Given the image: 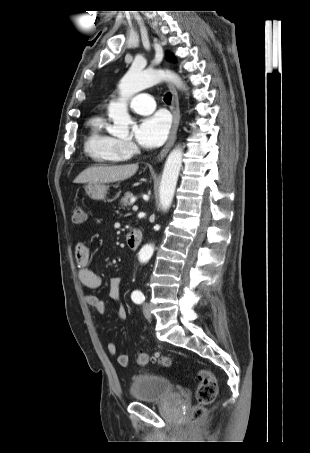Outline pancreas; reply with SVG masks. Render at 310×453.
<instances>
[{"mask_svg":"<svg viewBox=\"0 0 310 453\" xmlns=\"http://www.w3.org/2000/svg\"><path fill=\"white\" fill-rule=\"evenodd\" d=\"M132 197H133V194L131 192L125 193L124 197L120 201V205L122 206V208L131 206L130 198H132Z\"/></svg>","mask_w":310,"mask_h":453,"instance_id":"cf45deb5","label":"pancreas"}]
</instances>
